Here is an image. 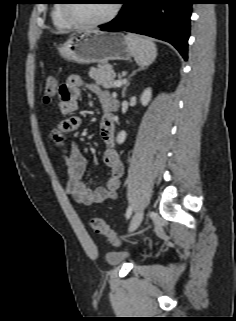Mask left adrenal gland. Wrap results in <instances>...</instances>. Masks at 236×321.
I'll return each instance as SVG.
<instances>
[{"instance_id": "1", "label": "left adrenal gland", "mask_w": 236, "mask_h": 321, "mask_svg": "<svg viewBox=\"0 0 236 321\" xmlns=\"http://www.w3.org/2000/svg\"><path fill=\"white\" fill-rule=\"evenodd\" d=\"M140 70H141V69H138V70L133 71L132 74L129 76L127 83H126L125 86L123 87L122 97H125V92H126L127 87L130 85L131 77H133V76H134L138 71H140Z\"/></svg>"}]
</instances>
